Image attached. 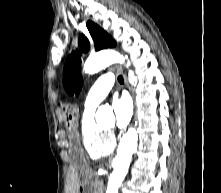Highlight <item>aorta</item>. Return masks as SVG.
<instances>
[{
  "instance_id": "1",
  "label": "aorta",
  "mask_w": 221,
  "mask_h": 193,
  "mask_svg": "<svg viewBox=\"0 0 221 193\" xmlns=\"http://www.w3.org/2000/svg\"><path fill=\"white\" fill-rule=\"evenodd\" d=\"M125 57L114 50L101 51L87 58L84 64V71L87 74H95L100 70L114 63L123 64ZM130 63H127L129 66ZM129 82L136 83V77L132 70L128 73ZM112 109L109 106L102 105L96 112V119L100 120L106 115H111ZM138 142V133L135 128H130L121 138L116 157L114 158V170L109 177L106 193H118L125 176L128 173L132 155L136 152Z\"/></svg>"
}]
</instances>
